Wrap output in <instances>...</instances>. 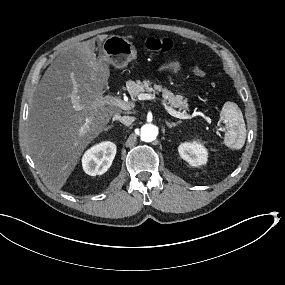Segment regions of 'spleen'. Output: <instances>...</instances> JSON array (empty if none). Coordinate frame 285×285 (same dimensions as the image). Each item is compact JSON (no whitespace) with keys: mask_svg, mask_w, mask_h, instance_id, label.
Segmentation results:
<instances>
[{"mask_svg":"<svg viewBox=\"0 0 285 285\" xmlns=\"http://www.w3.org/2000/svg\"><path fill=\"white\" fill-rule=\"evenodd\" d=\"M245 139H246V129L245 127H243L240 131V139H239L241 147L243 146Z\"/></svg>","mask_w":285,"mask_h":285,"instance_id":"1","label":"spleen"}]
</instances>
